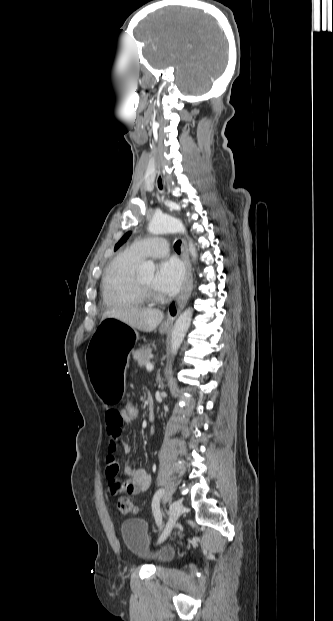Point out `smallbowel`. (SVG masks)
Listing matches in <instances>:
<instances>
[{"label":"small bowel","mask_w":333,"mask_h":621,"mask_svg":"<svg viewBox=\"0 0 333 621\" xmlns=\"http://www.w3.org/2000/svg\"><path fill=\"white\" fill-rule=\"evenodd\" d=\"M105 418L107 433L110 437V444L105 459L109 494L113 497H123L124 495H138L147 491L151 483V477L144 469L136 468L131 464H125L123 471L127 479L119 477L120 465L114 455L115 441L121 437L125 425L128 424L122 410L110 408L107 410ZM123 449L126 454L130 453L131 448L127 443L123 444Z\"/></svg>","instance_id":"c3829d8e"}]
</instances>
